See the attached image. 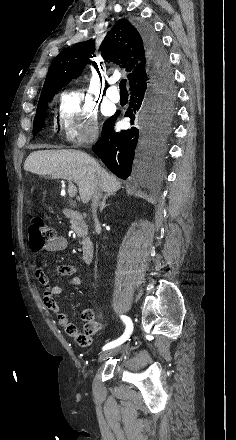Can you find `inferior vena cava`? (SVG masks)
Returning a JSON list of instances; mask_svg holds the SVG:
<instances>
[{"label":"inferior vena cava","mask_w":236,"mask_h":440,"mask_svg":"<svg viewBox=\"0 0 236 440\" xmlns=\"http://www.w3.org/2000/svg\"><path fill=\"white\" fill-rule=\"evenodd\" d=\"M101 197V192H100V188L96 187L93 195H92V213H93V217L95 220L96 225L98 224V219H97V207H98V203H99V199Z\"/></svg>","instance_id":"1"}]
</instances>
